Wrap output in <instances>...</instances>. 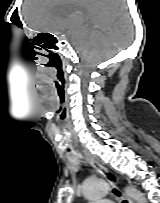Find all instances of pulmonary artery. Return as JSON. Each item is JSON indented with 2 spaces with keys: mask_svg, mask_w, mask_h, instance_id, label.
Masks as SVG:
<instances>
[{
  "mask_svg": "<svg viewBox=\"0 0 160 203\" xmlns=\"http://www.w3.org/2000/svg\"><path fill=\"white\" fill-rule=\"evenodd\" d=\"M94 203H112L111 201H95Z\"/></svg>",
  "mask_w": 160,
  "mask_h": 203,
  "instance_id": "1",
  "label": "pulmonary artery"
}]
</instances>
